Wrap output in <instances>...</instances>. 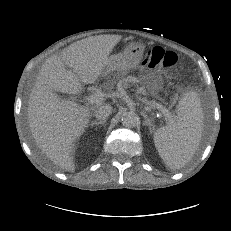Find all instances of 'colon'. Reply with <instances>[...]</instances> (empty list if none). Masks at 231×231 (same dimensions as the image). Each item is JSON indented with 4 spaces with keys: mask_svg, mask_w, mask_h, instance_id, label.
Wrapping results in <instances>:
<instances>
[{
    "mask_svg": "<svg viewBox=\"0 0 231 231\" xmlns=\"http://www.w3.org/2000/svg\"><path fill=\"white\" fill-rule=\"evenodd\" d=\"M177 62V55L172 51H166L161 47H153L148 50L142 60V65L148 68H169Z\"/></svg>",
    "mask_w": 231,
    "mask_h": 231,
    "instance_id": "obj_1",
    "label": "colon"
}]
</instances>
